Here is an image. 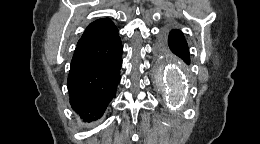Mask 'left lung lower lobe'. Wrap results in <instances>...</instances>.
I'll return each mask as SVG.
<instances>
[{
    "instance_id": "1",
    "label": "left lung lower lobe",
    "mask_w": 260,
    "mask_h": 144,
    "mask_svg": "<svg viewBox=\"0 0 260 144\" xmlns=\"http://www.w3.org/2000/svg\"><path fill=\"white\" fill-rule=\"evenodd\" d=\"M161 43H166L174 54L179 56L185 63L190 64L189 48L181 31L172 30L168 36L163 35Z\"/></svg>"
}]
</instances>
